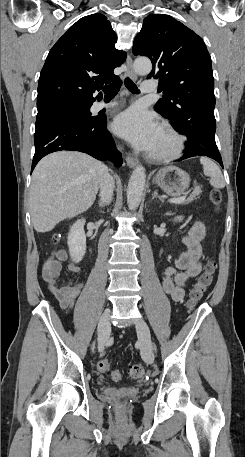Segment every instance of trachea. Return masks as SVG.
<instances>
[{"label": "trachea", "mask_w": 245, "mask_h": 457, "mask_svg": "<svg viewBox=\"0 0 245 457\" xmlns=\"http://www.w3.org/2000/svg\"><path fill=\"white\" fill-rule=\"evenodd\" d=\"M121 85H122L121 80H117L116 82H113L110 85L103 87L105 97H115V95L119 92ZM125 86L132 93L140 92L138 90V87L136 86V84L130 78L125 79Z\"/></svg>", "instance_id": "obj_1"}]
</instances>
